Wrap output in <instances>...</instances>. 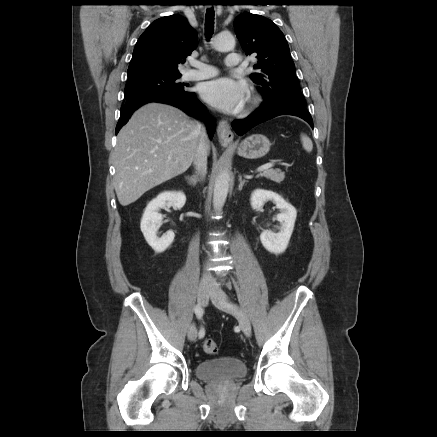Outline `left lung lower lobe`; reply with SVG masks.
Segmentation results:
<instances>
[{
  "label": "left lung lower lobe",
  "instance_id": "0a47b994",
  "mask_svg": "<svg viewBox=\"0 0 437 437\" xmlns=\"http://www.w3.org/2000/svg\"><path fill=\"white\" fill-rule=\"evenodd\" d=\"M280 115H293L302 118L313 128V120L304 106L289 103L262 105L243 120H235L232 127L238 135H243L254 126Z\"/></svg>",
  "mask_w": 437,
  "mask_h": 437
}]
</instances>
